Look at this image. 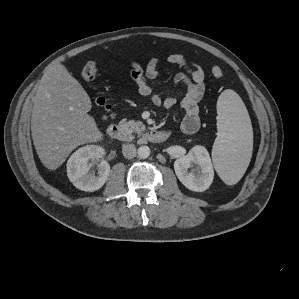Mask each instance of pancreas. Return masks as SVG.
I'll return each instance as SVG.
<instances>
[{"instance_id":"cf45deb5","label":"pancreas","mask_w":299,"mask_h":299,"mask_svg":"<svg viewBox=\"0 0 299 299\" xmlns=\"http://www.w3.org/2000/svg\"><path fill=\"white\" fill-rule=\"evenodd\" d=\"M120 126L129 134L137 133L138 135H141L146 130L145 125L141 121L135 120L126 121V119H122L120 121Z\"/></svg>"}]
</instances>
